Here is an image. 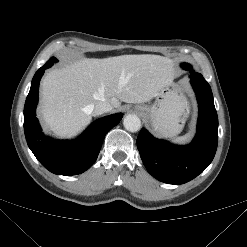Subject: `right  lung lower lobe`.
<instances>
[{"instance_id": "obj_1", "label": "right lung lower lobe", "mask_w": 247, "mask_h": 247, "mask_svg": "<svg viewBox=\"0 0 247 247\" xmlns=\"http://www.w3.org/2000/svg\"><path fill=\"white\" fill-rule=\"evenodd\" d=\"M47 66L34 75L24 107V132L29 148L39 162L58 175H77L96 161L106 133L116 126L122 114L117 113L96 120L76 140L59 141L46 137L35 117L39 82Z\"/></svg>"}]
</instances>
